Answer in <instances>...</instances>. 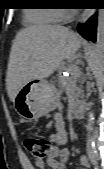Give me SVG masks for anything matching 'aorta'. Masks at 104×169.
Instances as JSON below:
<instances>
[{
    "mask_svg": "<svg viewBox=\"0 0 104 169\" xmlns=\"http://www.w3.org/2000/svg\"><path fill=\"white\" fill-rule=\"evenodd\" d=\"M104 58V34L103 30L101 32H98L97 35V42L95 45V50H94V59H95V64H94V70L97 75H102L103 71V61ZM94 112L90 108L89 112L87 114V125H86V130H87V135L88 138H91V133L93 131V125H94Z\"/></svg>",
    "mask_w": 104,
    "mask_h": 169,
    "instance_id": "obj_1",
    "label": "aorta"
}]
</instances>
